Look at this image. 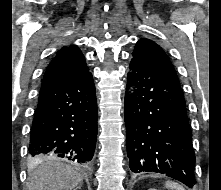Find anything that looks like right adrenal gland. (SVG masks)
Instances as JSON below:
<instances>
[{
	"label": "right adrenal gland",
	"instance_id": "2a0ac1e0",
	"mask_svg": "<svg viewBox=\"0 0 221 190\" xmlns=\"http://www.w3.org/2000/svg\"><path fill=\"white\" fill-rule=\"evenodd\" d=\"M81 188V186H78V187H76L74 190H77V189H80Z\"/></svg>",
	"mask_w": 221,
	"mask_h": 190
}]
</instances>
